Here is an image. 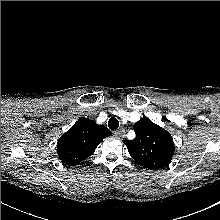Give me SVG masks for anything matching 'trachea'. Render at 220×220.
Wrapping results in <instances>:
<instances>
[{
	"mask_svg": "<svg viewBox=\"0 0 220 220\" xmlns=\"http://www.w3.org/2000/svg\"><path fill=\"white\" fill-rule=\"evenodd\" d=\"M108 127L111 129V130H115L119 127V121L114 118V117H111L108 121Z\"/></svg>",
	"mask_w": 220,
	"mask_h": 220,
	"instance_id": "obj_1",
	"label": "trachea"
}]
</instances>
